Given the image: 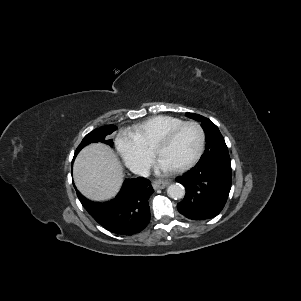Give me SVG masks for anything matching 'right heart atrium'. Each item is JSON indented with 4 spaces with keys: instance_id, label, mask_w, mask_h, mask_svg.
Instances as JSON below:
<instances>
[{
    "instance_id": "1",
    "label": "right heart atrium",
    "mask_w": 301,
    "mask_h": 301,
    "mask_svg": "<svg viewBox=\"0 0 301 301\" xmlns=\"http://www.w3.org/2000/svg\"><path fill=\"white\" fill-rule=\"evenodd\" d=\"M116 148L124 164L134 173L144 174L152 163V154L129 132L116 137Z\"/></svg>"
}]
</instances>
